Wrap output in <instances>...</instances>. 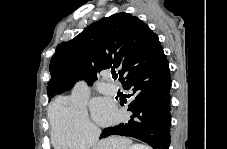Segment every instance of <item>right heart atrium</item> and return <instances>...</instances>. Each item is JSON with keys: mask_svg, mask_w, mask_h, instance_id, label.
I'll return each mask as SVG.
<instances>
[{"mask_svg": "<svg viewBox=\"0 0 227 149\" xmlns=\"http://www.w3.org/2000/svg\"><path fill=\"white\" fill-rule=\"evenodd\" d=\"M49 119L52 142L61 149L91 146L100 134L85 106L72 98H57L49 109Z\"/></svg>", "mask_w": 227, "mask_h": 149, "instance_id": "d8ad5b80", "label": "right heart atrium"}]
</instances>
